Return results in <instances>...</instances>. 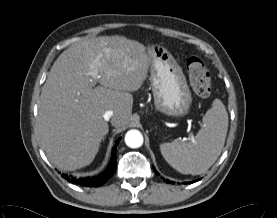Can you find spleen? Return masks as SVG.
<instances>
[{"label": "spleen", "mask_w": 277, "mask_h": 218, "mask_svg": "<svg viewBox=\"0 0 277 218\" xmlns=\"http://www.w3.org/2000/svg\"><path fill=\"white\" fill-rule=\"evenodd\" d=\"M203 127L188 142H168L160 145L164 159L182 174L199 175L217 160L224 147L228 130V113L221 100L215 99L212 108L202 119Z\"/></svg>", "instance_id": "3e777b00"}]
</instances>
